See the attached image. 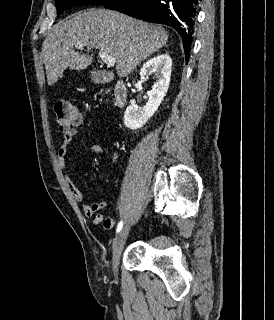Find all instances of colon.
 Listing matches in <instances>:
<instances>
[{"label":"colon","instance_id":"5ec220e1","mask_svg":"<svg viewBox=\"0 0 274 320\" xmlns=\"http://www.w3.org/2000/svg\"><path fill=\"white\" fill-rule=\"evenodd\" d=\"M53 108L56 114V125L63 133H68V127H73V120H82L79 110L64 97H58L53 103Z\"/></svg>","mask_w":274,"mask_h":320}]
</instances>
